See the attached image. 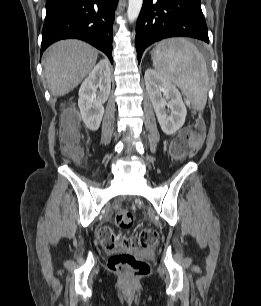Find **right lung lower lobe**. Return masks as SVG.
I'll return each instance as SVG.
<instances>
[{
  "mask_svg": "<svg viewBox=\"0 0 261 306\" xmlns=\"http://www.w3.org/2000/svg\"><path fill=\"white\" fill-rule=\"evenodd\" d=\"M118 0H47L41 54L66 38L84 40L103 51L111 62L112 25Z\"/></svg>",
  "mask_w": 261,
  "mask_h": 306,
  "instance_id": "1",
  "label": "right lung lower lobe"
}]
</instances>
